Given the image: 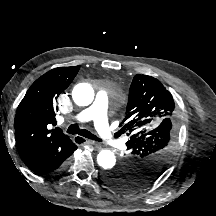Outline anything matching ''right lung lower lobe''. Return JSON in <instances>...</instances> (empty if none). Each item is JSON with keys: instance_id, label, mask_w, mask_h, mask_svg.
<instances>
[{"instance_id": "right-lung-lower-lobe-1", "label": "right lung lower lobe", "mask_w": 216, "mask_h": 216, "mask_svg": "<svg viewBox=\"0 0 216 216\" xmlns=\"http://www.w3.org/2000/svg\"><path fill=\"white\" fill-rule=\"evenodd\" d=\"M76 149H77V146L75 148L68 150L65 153L58 154L57 156L53 157L52 159H50L49 161H47L43 165H41V166L31 170V171H33L34 173H36L38 175L51 174V173L55 172L56 170L62 168L66 159L68 157H70Z\"/></svg>"}]
</instances>
